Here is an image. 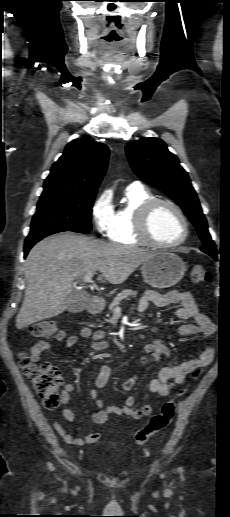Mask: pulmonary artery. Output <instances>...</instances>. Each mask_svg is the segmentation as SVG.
I'll return each instance as SVG.
<instances>
[{"label": "pulmonary artery", "instance_id": "pulmonary-artery-1", "mask_svg": "<svg viewBox=\"0 0 230 517\" xmlns=\"http://www.w3.org/2000/svg\"><path fill=\"white\" fill-rule=\"evenodd\" d=\"M131 186H140V183L139 182H133V183L128 185V187H131Z\"/></svg>", "mask_w": 230, "mask_h": 517}]
</instances>
